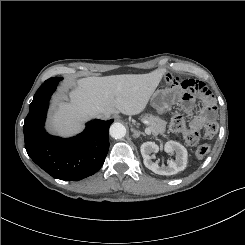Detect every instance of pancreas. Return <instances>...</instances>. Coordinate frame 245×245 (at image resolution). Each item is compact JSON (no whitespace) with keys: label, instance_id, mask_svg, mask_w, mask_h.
I'll use <instances>...</instances> for the list:
<instances>
[{"label":"pancreas","instance_id":"pancreas-1","mask_svg":"<svg viewBox=\"0 0 245 245\" xmlns=\"http://www.w3.org/2000/svg\"><path fill=\"white\" fill-rule=\"evenodd\" d=\"M141 121L147 124L154 136L164 135L166 130V122L164 120L153 115H145L141 117Z\"/></svg>","mask_w":245,"mask_h":245}]
</instances>
